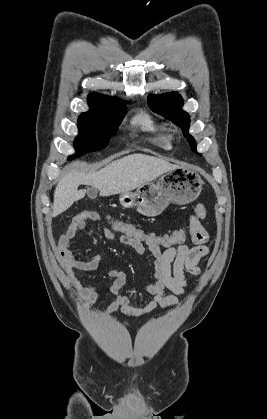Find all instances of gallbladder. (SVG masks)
Masks as SVG:
<instances>
[{
	"label": "gallbladder",
	"mask_w": 267,
	"mask_h": 419,
	"mask_svg": "<svg viewBox=\"0 0 267 419\" xmlns=\"http://www.w3.org/2000/svg\"><path fill=\"white\" fill-rule=\"evenodd\" d=\"M87 194H88L89 198L94 199L97 196V190L95 188H90V189L87 190Z\"/></svg>",
	"instance_id": "1"
}]
</instances>
